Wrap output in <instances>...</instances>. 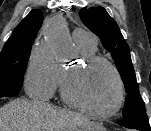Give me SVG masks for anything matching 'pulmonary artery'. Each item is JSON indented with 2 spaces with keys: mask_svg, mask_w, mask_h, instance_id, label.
I'll return each mask as SVG.
<instances>
[{
  "mask_svg": "<svg viewBox=\"0 0 151 131\" xmlns=\"http://www.w3.org/2000/svg\"><path fill=\"white\" fill-rule=\"evenodd\" d=\"M73 39L76 43H82L90 46L96 45V37L88 31L83 29H76L73 32Z\"/></svg>",
  "mask_w": 151,
  "mask_h": 131,
  "instance_id": "obj_1",
  "label": "pulmonary artery"
}]
</instances>
